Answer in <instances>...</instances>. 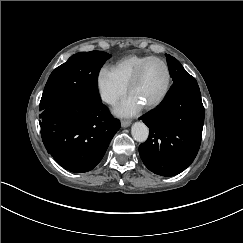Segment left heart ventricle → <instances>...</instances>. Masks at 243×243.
Wrapping results in <instances>:
<instances>
[{
	"label": "left heart ventricle",
	"mask_w": 243,
	"mask_h": 243,
	"mask_svg": "<svg viewBox=\"0 0 243 243\" xmlns=\"http://www.w3.org/2000/svg\"><path fill=\"white\" fill-rule=\"evenodd\" d=\"M167 83L168 74L164 65L158 61H151L146 65L140 79L131 88L129 94L146 105L163 94Z\"/></svg>",
	"instance_id": "left-heart-ventricle-1"
}]
</instances>
